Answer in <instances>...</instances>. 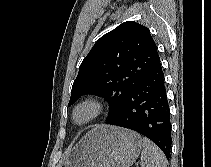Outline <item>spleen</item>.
<instances>
[{
  "instance_id": "1",
  "label": "spleen",
  "mask_w": 211,
  "mask_h": 167,
  "mask_svg": "<svg viewBox=\"0 0 211 167\" xmlns=\"http://www.w3.org/2000/svg\"><path fill=\"white\" fill-rule=\"evenodd\" d=\"M141 167H167V159L163 152L145 137L143 138Z\"/></svg>"
}]
</instances>
